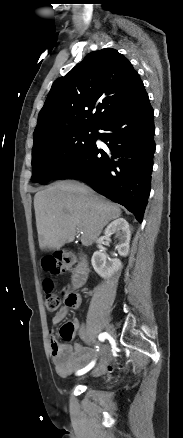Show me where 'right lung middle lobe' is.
I'll return each instance as SVG.
<instances>
[{
	"mask_svg": "<svg viewBox=\"0 0 183 438\" xmlns=\"http://www.w3.org/2000/svg\"><path fill=\"white\" fill-rule=\"evenodd\" d=\"M97 127H78L34 140L32 151L33 182L45 184L65 168L94 140Z\"/></svg>",
	"mask_w": 183,
	"mask_h": 438,
	"instance_id": "dd1d6c3e",
	"label": "right lung middle lobe"
}]
</instances>
